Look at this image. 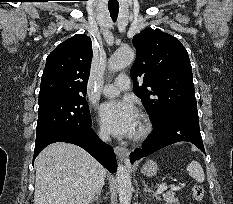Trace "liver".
Returning <instances> with one entry per match:
<instances>
[{
  "instance_id": "obj_1",
  "label": "liver",
  "mask_w": 233,
  "mask_h": 204,
  "mask_svg": "<svg viewBox=\"0 0 233 204\" xmlns=\"http://www.w3.org/2000/svg\"><path fill=\"white\" fill-rule=\"evenodd\" d=\"M35 166L34 204H90L106 177L90 154L64 142L47 146Z\"/></svg>"
}]
</instances>
